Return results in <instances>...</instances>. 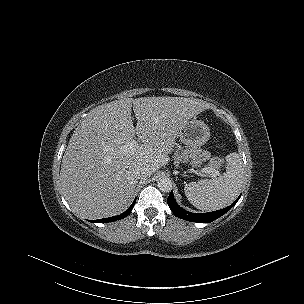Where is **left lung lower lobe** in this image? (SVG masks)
<instances>
[{"label": "left lung lower lobe", "mask_w": 304, "mask_h": 304, "mask_svg": "<svg viewBox=\"0 0 304 304\" xmlns=\"http://www.w3.org/2000/svg\"><path fill=\"white\" fill-rule=\"evenodd\" d=\"M240 196L237 198V200L232 205H230L224 209L217 210L214 212H208V213H191V212H188V211L182 209L176 203L172 191L167 199V203H168L171 211L179 218H182L184 220L191 221V222L209 223V222H212V221L216 220L217 218L221 217L226 212H228L238 202Z\"/></svg>", "instance_id": "1"}]
</instances>
